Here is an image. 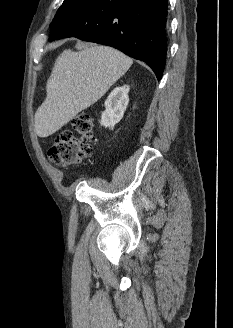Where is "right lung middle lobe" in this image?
Instances as JSON below:
<instances>
[{"mask_svg":"<svg viewBox=\"0 0 233 328\" xmlns=\"http://www.w3.org/2000/svg\"><path fill=\"white\" fill-rule=\"evenodd\" d=\"M94 0H64L62 6L57 11L50 27L58 20L74 13L75 11L87 6Z\"/></svg>","mask_w":233,"mask_h":328,"instance_id":"1","label":"right lung middle lobe"}]
</instances>
